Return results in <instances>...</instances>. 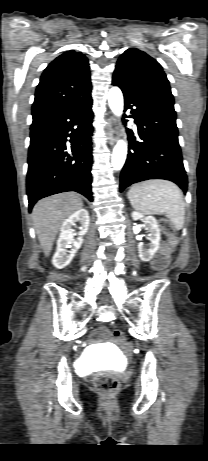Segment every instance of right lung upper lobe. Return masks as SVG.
Instances as JSON below:
<instances>
[{
  "label": "right lung upper lobe",
  "mask_w": 208,
  "mask_h": 461,
  "mask_svg": "<svg viewBox=\"0 0 208 461\" xmlns=\"http://www.w3.org/2000/svg\"><path fill=\"white\" fill-rule=\"evenodd\" d=\"M88 59L67 51L44 70L32 106L33 121L86 102L91 97Z\"/></svg>",
  "instance_id": "cb5924a9"
}]
</instances>
